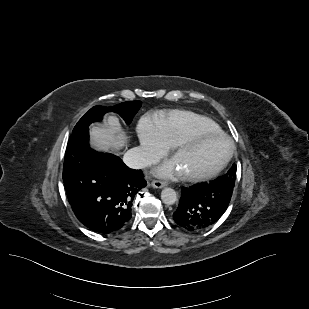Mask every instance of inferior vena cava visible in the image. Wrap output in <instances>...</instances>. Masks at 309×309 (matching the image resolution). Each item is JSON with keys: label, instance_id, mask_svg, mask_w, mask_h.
<instances>
[{"label": "inferior vena cava", "instance_id": "1", "mask_svg": "<svg viewBox=\"0 0 309 309\" xmlns=\"http://www.w3.org/2000/svg\"><path fill=\"white\" fill-rule=\"evenodd\" d=\"M123 161L132 169H142L158 163L159 157L154 154L144 152L140 148H132L124 154Z\"/></svg>", "mask_w": 309, "mask_h": 309}]
</instances>
